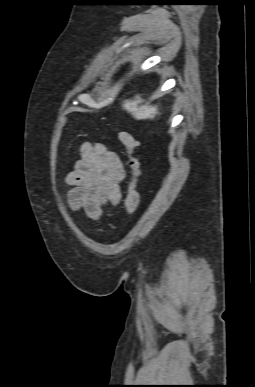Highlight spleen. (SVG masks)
Instances as JSON below:
<instances>
[{
  "label": "spleen",
  "instance_id": "3e777b00",
  "mask_svg": "<svg viewBox=\"0 0 255 387\" xmlns=\"http://www.w3.org/2000/svg\"><path fill=\"white\" fill-rule=\"evenodd\" d=\"M141 103H143V99L138 95L134 100L124 101L123 108L137 120L153 119L158 114L157 106H151L149 104L140 105Z\"/></svg>",
  "mask_w": 255,
  "mask_h": 387
}]
</instances>
